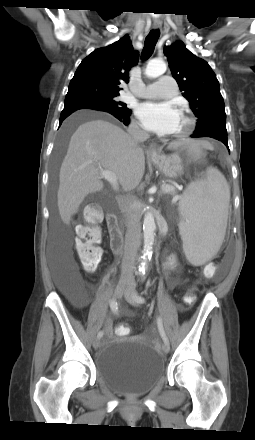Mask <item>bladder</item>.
<instances>
[{
    "instance_id": "bladder-1",
    "label": "bladder",
    "mask_w": 255,
    "mask_h": 440,
    "mask_svg": "<svg viewBox=\"0 0 255 440\" xmlns=\"http://www.w3.org/2000/svg\"><path fill=\"white\" fill-rule=\"evenodd\" d=\"M98 378L128 395L148 392L163 377L165 361L150 344L132 337L108 339L96 360Z\"/></svg>"
}]
</instances>
